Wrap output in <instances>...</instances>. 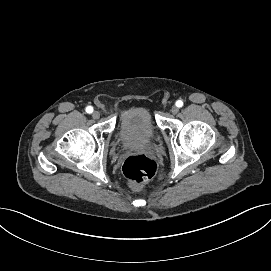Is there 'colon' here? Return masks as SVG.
<instances>
[{"mask_svg": "<svg viewBox=\"0 0 271 271\" xmlns=\"http://www.w3.org/2000/svg\"><path fill=\"white\" fill-rule=\"evenodd\" d=\"M122 171L131 186L140 187L155 175L156 163L145 155H132L124 161Z\"/></svg>", "mask_w": 271, "mask_h": 271, "instance_id": "obj_1", "label": "colon"}]
</instances>
